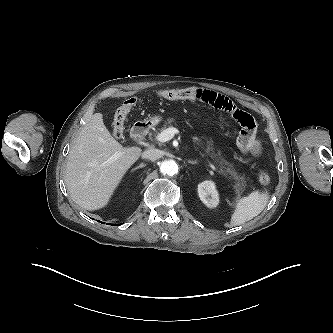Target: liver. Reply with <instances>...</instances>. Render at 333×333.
Segmentation results:
<instances>
[{
	"instance_id": "liver-1",
	"label": "liver",
	"mask_w": 333,
	"mask_h": 333,
	"mask_svg": "<svg viewBox=\"0 0 333 333\" xmlns=\"http://www.w3.org/2000/svg\"><path fill=\"white\" fill-rule=\"evenodd\" d=\"M141 152L139 147L118 143L104 125L103 115L95 113L68 155L65 183L72 200L86 210L105 207Z\"/></svg>"
}]
</instances>
